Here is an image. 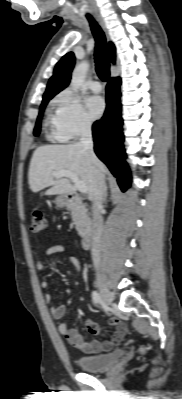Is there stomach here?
<instances>
[{"label":"stomach","mask_w":182,"mask_h":399,"mask_svg":"<svg viewBox=\"0 0 182 399\" xmlns=\"http://www.w3.org/2000/svg\"><path fill=\"white\" fill-rule=\"evenodd\" d=\"M54 202H55L56 206L59 208H64V207L68 206V204H69L66 195H60V196L56 197Z\"/></svg>","instance_id":"obj_1"}]
</instances>
